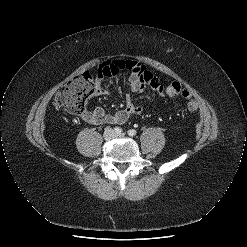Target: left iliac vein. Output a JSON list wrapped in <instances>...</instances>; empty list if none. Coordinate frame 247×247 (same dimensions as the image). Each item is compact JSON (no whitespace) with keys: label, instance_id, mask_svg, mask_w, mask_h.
Here are the masks:
<instances>
[{"label":"left iliac vein","instance_id":"1","mask_svg":"<svg viewBox=\"0 0 247 247\" xmlns=\"http://www.w3.org/2000/svg\"><path fill=\"white\" fill-rule=\"evenodd\" d=\"M116 137H124L125 136V134L124 133H122V134H119V135H115Z\"/></svg>","mask_w":247,"mask_h":247}]
</instances>
